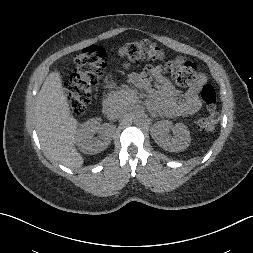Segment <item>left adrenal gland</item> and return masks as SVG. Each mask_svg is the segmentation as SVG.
I'll return each mask as SVG.
<instances>
[{
	"instance_id": "1",
	"label": "left adrenal gland",
	"mask_w": 253,
	"mask_h": 253,
	"mask_svg": "<svg viewBox=\"0 0 253 253\" xmlns=\"http://www.w3.org/2000/svg\"><path fill=\"white\" fill-rule=\"evenodd\" d=\"M152 116L155 117V114L152 113Z\"/></svg>"
}]
</instances>
